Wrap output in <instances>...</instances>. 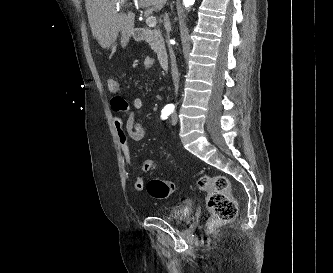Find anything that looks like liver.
<instances>
[{"mask_svg": "<svg viewBox=\"0 0 333 273\" xmlns=\"http://www.w3.org/2000/svg\"><path fill=\"white\" fill-rule=\"evenodd\" d=\"M126 0H85L88 20L94 38L102 48L109 49L121 33V44L124 48L133 32L135 14L132 12L118 13L117 5ZM167 0H139L142 8L153 7L160 11Z\"/></svg>", "mask_w": 333, "mask_h": 273, "instance_id": "liver-1", "label": "liver"}]
</instances>
